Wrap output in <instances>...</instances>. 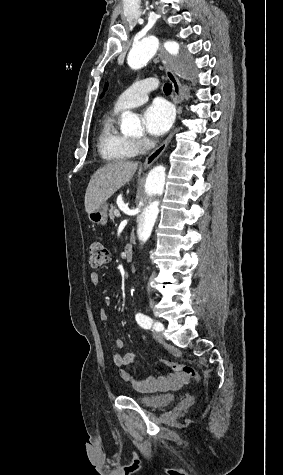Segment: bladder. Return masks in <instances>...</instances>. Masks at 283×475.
Returning <instances> with one entry per match:
<instances>
[{"instance_id":"obj_1","label":"bladder","mask_w":283,"mask_h":475,"mask_svg":"<svg viewBox=\"0 0 283 475\" xmlns=\"http://www.w3.org/2000/svg\"><path fill=\"white\" fill-rule=\"evenodd\" d=\"M135 402L147 409L163 408L173 402L175 397L173 394H162L153 396L132 395Z\"/></svg>"}]
</instances>
